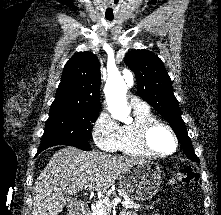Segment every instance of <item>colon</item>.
<instances>
[{"instance_id": "1", "label": "colon", "mask_w": 221, "mask_h": 215, "mask_svg": "<svg viewBox=\"0 0 221 215\" xmlns=\"http://www.w3.org/2000/svg\"><path fill=\"white\" fill-rule=\"evenodd\" d=\"M198 179V173L191 166L183 167L177 174V180L182 184H195Z\"/></svg>"}]
</instances>
